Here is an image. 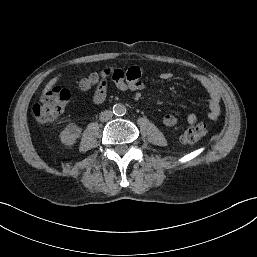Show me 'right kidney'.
Returning <instances> with one entry per match:
<instances>
[{
  "label": "right kidney",
  "instance_id": "right-kidney-1",
  "mask_svg": "<svg viewBox=\"0 0 257 257\" xmlns=\"http://www.w3.org/2000/svg\"><path fill=\"white\" fill-rule=\"evenodd\" d=\"M81 129L74 123H70L60 134V140L67 146H72L79 138Z\"/></svg>",
  "mask_w": 257,
  "mask_h": 257
}]
</instances>
